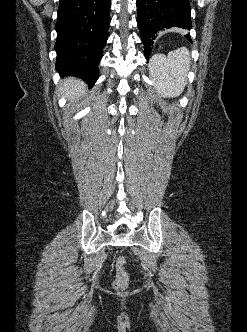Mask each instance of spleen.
Wrapping results in <instances>:
<instances>
[{
  "label": "spleen",
  "mask_w": 247,
  "mask_h": 332,
  "mask_svg": "<svg viewBox=\"0 0 247 332\" xmlns=\"http://www.w3.org/2000/svg\"><path fill=\"white\" fill-rule=\"evenodd\" d=\"M190 60V53L185 47L171 51L167 56L157 54L151 58L149 71L158 95L173 98L184 91Z\"/></svg>",
  "instance_id": "obj_1"
}]
</instances>
